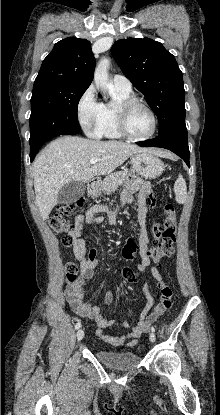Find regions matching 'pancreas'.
<instances>
[{
    "label": "pancreas",
    "mask_w": 220,
    "mask_h": 415,
    "mask_svg": "<svg viewBox=\"0 0 220 415\" xmlns=\"http://www.w3.org/2000/svg\"><path fill=\"white\" fill-rule=\"evenodd\" d=\"M128 177L126 171H117L107 176L102 182V190L105 194L110 195L118 186L122 185Z\"/></svg>",
    "instance_id": "obj_1"
}]
</instances>
